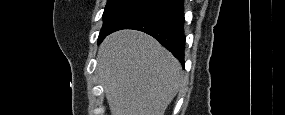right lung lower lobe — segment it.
Segmentation results:
<instances>
[{
  "label": "right lung lower lobe",
  "mask_w": 285,
  "mask_h": 115,
  "mask_svg": "<svg viewBox=\"0 0 285 115\" xmlns=\"http://www.w3.org/2000/svg\"><path fill=\"white\" fill-rule=\"evenodd\" d=\"M183 3V0H154L123 19L108 34L121 29L143 31L157 39L184 66Z\"/></svg>",
  "instance_id": "98d812e1"
}]
</instances>
